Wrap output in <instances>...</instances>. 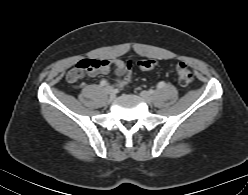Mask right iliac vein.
Returning a JSON list of instances; mask_svg holds the SVG:
<instances>
[{"mask_svg":"<svg viewBox=\"0 0 248 195\" xmlns=\"http://www.w3.org/2000/svg\"><path fill=\"white\" fill-rule=\"evenodd\" d=\"M105 92L110 96L111 99L115 98V92L111 86H106Z\"/></svg>","mask_w":248,"mask_h":195,"instance_id":"obj_1","label":"right iliac vein"}]
</instances>
